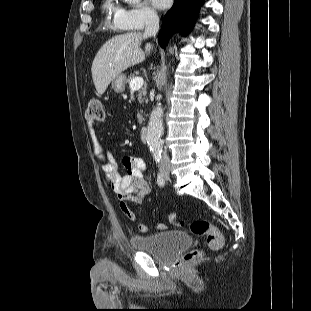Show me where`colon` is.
<instances>
[{
    "label": "colon",
    "instance_id": "obj_1",
    "mask_svg": "<svg viewBox=\"0 0 311 311\" xmlns=\"http://www.w3.org/2000/svg\"><path fill=\"white\" fill-rule=\"evenodd\" d=\"M86 118L88 121H100L103 119V106L99 99H91L87 106ZM194 235H206L207 246L211 250H218L224 244V238L220 230L205 219H195L190 225ZM202 256V251L192 250L185 254L184 261L190 262Z\"/></svg>",
    "mask_w": 311,
    "mask_h": 311
}]
</instances>
